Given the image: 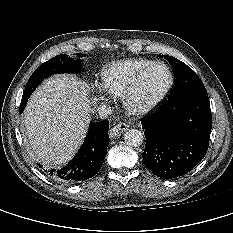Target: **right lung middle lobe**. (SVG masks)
<instances>
[{
    "label": "right lung middle lobe",
    "instance_id": "obj_1",
    "mask_svg": "<svg viewBox=\"0 0 233 233\" xmlns=\"http://www.w3.org/2000/svg\"><path fill=\"white\" fill-rule=\"evenodd\" d=\"M85 56V54H78ZM80 60L69 59L66 54L56 56L40 65L31 75L25 87L24 95H31L36 87L47 77L55 73H76L82 68Z\"/></svg>",
    "mask_w": 233,
    "mask_h": 233
}]
</instances>
